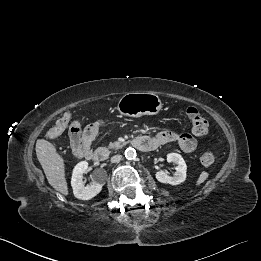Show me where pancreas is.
Segmentation results:
<instances>
[{"instance_id": "pancreas-1", "label": "pancreas", "mask_w": 261, "mask_h": 261, "mask_svg": "<svg viewBox=\"0 0 261 261\" xmlns=\"http://www.w3.org/2000/svg\"><path fill=\"white\" fill-rule=\"evenodd\" d=\"M124 145H125V143H121V142L116 141L114 143H110L108 147L110 149H118V148L123 147Z\"/></svg>"}]
</instances>
